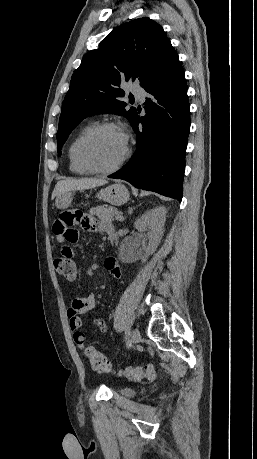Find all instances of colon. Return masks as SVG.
Wrapping results in <instances>:
<instances>
[{"label": "colon", "mask_w": 257, "mask_h": 459, "mask_svg": "<svg viewBox=\"0 0 257 459\" xmlns=\"http://www.w3.org/2000/svg\"><path fill=\"white\" fill-rule=\"evenodd\" d=\"M57 273L65 278L74 279L76 276V263L75 261H68L67 258L62 256L55 259L54 262ZM86 355L95 370L102 372H111L112 365L107 357L92 347H87ZM123 375L132 379H147L153 380L157 376L156 369L153 364H147L144 368H127L122 372Z\"/></svg>", "instance_id": "colon-1"}]
</instances>
